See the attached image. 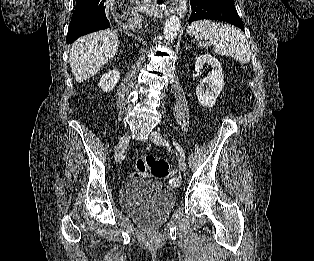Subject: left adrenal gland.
<instances>
[{"instance_id":"left-adrenal-gland-1","label":"left adrenal gland","mask_w":314,"mask_h":261,"mask_svg":"<svg viewBox=\"0 0 314 261\" xmlns=\"http://www.w3.org/2000/svg\"><path fill=\"white\" fill-rule=\"evenodd\" d=\"M185 48H186V50H187V49H189V46L186 44V45H185Z\"/></svg>"}]
</instances>
